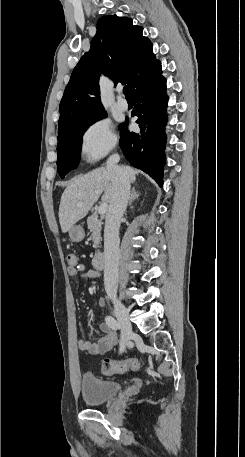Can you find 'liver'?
<instances>
[{
    "mask_svg": "<svg viewBox=\"0 0 245 457\" xmlns=\"http://www.w3.org/2000/svg\"><path fill=\"white\" fill-rule=\"evenodd\" d=\"M122 168L127 172L130 182H134L137 170L132 166H122ZM103 190L104 194H102ZM113 192L111 176L105 166L95 168L79 178H73L66 186L60 200L58 214L62 233H67L77 220L86 216L100 194L103 202H111Z\"/></svg>",
    "mask_w": 245,
    "mask_h": 457,
    "instance_id": "6515ba94",
    "label": "liver"
}]
</instances>
